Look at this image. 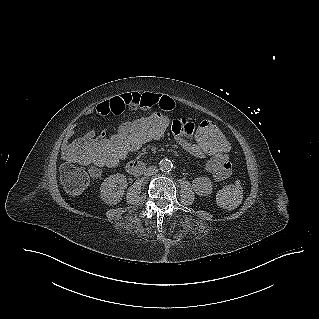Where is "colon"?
Listing matches in <instances>:
<instances>
[{
    "instance_id": "1",
    "label": "colon",
    "mask_w": 319,
    "mask_h": 319,
    "mask_svg": "<svg viewBox=\"0 0 319 319\" xmlns=\"http://www.w3.org/2000/svg\"><path fill=\"white\" fill-rule=\"evenodd\" d=\"M169 129V121L165 115L152 113L136 115L131 123L100 139H92L87 134L78 140L73 137L66 138L62 151L65 163L61 168L64 188L69 194H81L89 184L90 173L80 164H92L91 172L97 174V167L118 165L143 145L163 139ZM193 139L214 158H223L231 150L228 134L211 120L204 119L195 124ZM241 199L240 181L225 186L217 195L218 204L227 209L235 208Z\"/></svg>"
}]
</instances>
